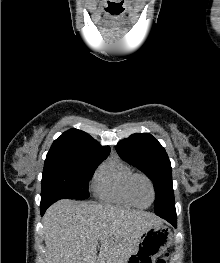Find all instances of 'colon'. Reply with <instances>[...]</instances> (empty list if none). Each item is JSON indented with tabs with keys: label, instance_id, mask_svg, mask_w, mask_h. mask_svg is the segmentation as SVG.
<instances>
[{
	"label": "colon",
	"instance_id": "1",
	"mask_svg": "<svg viewBox=\"0 0 220 263\" xmlns=\"http://www.w3.org/2000/svg\"><path fill=\"white\" fill-rule=\"evenodd\" d=\"M156 263H167V255L164 258L158 259Z\"/></svg>",
	"mask_w": 220,
	"mask_h": 263
}]
</instances>
